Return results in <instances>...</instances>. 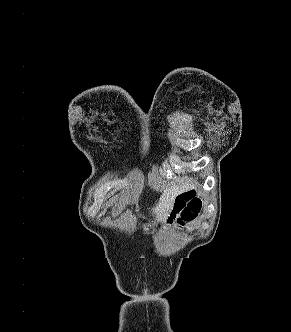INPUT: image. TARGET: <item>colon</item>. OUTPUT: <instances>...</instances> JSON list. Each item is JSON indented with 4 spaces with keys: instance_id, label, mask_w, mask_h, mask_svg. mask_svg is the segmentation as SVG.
I'll return each instance as SVG.
<instances>
[{
    "instance_id": "colon-1",
    "label": "colon",
    "mask_w": 291,
    "mask_h": 332,
    "mask_svg": "<svg viewBox=\"0 0 291 332\" xmlns=\"http://www.w3.org/2000/svg\"><path fill=\"white\" fill-rule=\"evenodd\" d=\"M201 208V200L196 196L182 193L175 201L174 211L169 219L181 224L184 220L192 218L199 212Z\"/></svg>"
}]
</instances>
